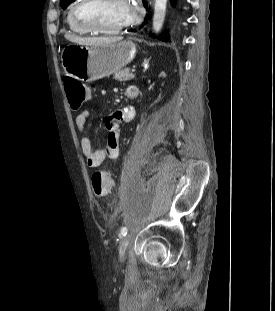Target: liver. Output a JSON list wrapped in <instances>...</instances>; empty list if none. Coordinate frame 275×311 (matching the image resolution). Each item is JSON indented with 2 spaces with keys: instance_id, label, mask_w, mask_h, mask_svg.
<instances>
[{
  "instance_id": "6515ba94",
  "label": "liver",
  "mask_w": 275,
  "mask_h": 311,
  "mask_svg": "<svg viewBox=\"0 0 275 311\" xmlns=\"http://www.w3.org/2000/svg\"><path fill=\"white\" fill-rule=\"evenodd\" d=\"M65 38L71 42L81 45H109L121 41L122 37H77L65 34Z\"/></svg>"
}]
</instances>
